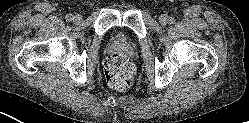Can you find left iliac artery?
<instances>
[{
  "mask_svg": "<svg viewBox=\"0 0 249 123\" xmlns=\"http://www.w3.org/2000/svg\"><path fill=\"white\" fill-rule=\"evenodd\" d=\"M175 18L174 17H169V23L174 24L175 23Z\"/></svg>",
  "mask_w": 249,
  "mask_h": 123,
  "instance_id": "left-iliac-artery-1",
  "label": "left iliac artery"
}]
</instances>
